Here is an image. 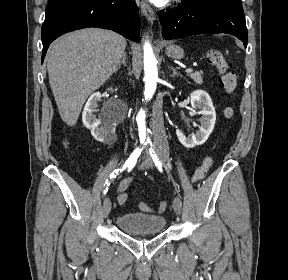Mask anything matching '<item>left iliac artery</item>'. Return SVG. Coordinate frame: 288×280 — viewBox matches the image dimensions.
Listing matches in <instances>:
<instances>
[{
	"instance_id": "1",
	"label": "left iliac artery",
	"mask_w": 288,
	"mask_h": 280,
	"mask_svg": "<svg viewBox=\"0 0 288 280\" xmlns=\"http://www.w3.org/2000/svg\"><path fill=\"white\" fill-rule=\"evenodd\" d=\"M151 147H153L152 143H150ZM150 155L155 163V165L157 166V168L159 169L160 172H162V163L161 161H159L158 157H155V151L153 148L150 149ZM171 191L173 192V196H176V200L179 203L183 202V193H180V191H178L177 185L173 184Z\"/></svg>"
}]
</instances>
